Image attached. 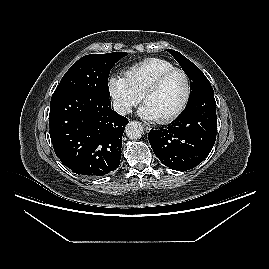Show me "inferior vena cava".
<instances>
[{
    "label": "inferior vena cava",
    "instance_id": "inferior-vena-cava-1",
    "mask_svg": "<svg viewBox=\"0 0 269 269\" xmlns=\"http://www.w3.org/2000/svg\"><path fill=\"white\" fill-rule=\"evenodd\" d=\"M113 109L120 115H126L130 113L131 109L127 103L115 101L113 103Z\"/></svg>",
    "mask_w": 269,
    "mask_h": 269
}]
</instances>
